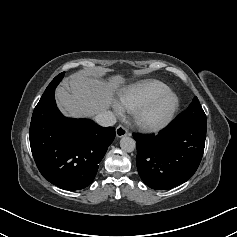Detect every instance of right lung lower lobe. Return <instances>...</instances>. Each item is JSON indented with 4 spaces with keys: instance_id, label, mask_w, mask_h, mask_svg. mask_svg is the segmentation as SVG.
I'll list each match as a JSON object with an SVG mask.
<instances>
[{
    "instance_id": "1",
    "label": "right lung lower lobe",
    "mask_w": 237,
    "mask_h": 237,
    "mask_svg": "<svg viewBox=\"0 0 237 237\" xmlns=\"http://www.w3.org/2000/svg\"><path fill=\"white\" fill-rule=\"evenodd\" d=\"M64 73L56 76L36 105L30 124V146L45 179L67 190L87 187L98 164L115 138L113 127L103 128L89 119L64 117L54 93Z\"/></svg>"
}]
</instances>
